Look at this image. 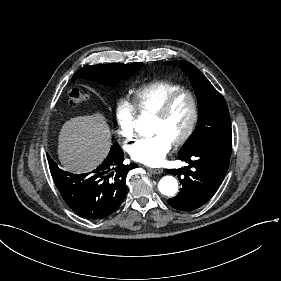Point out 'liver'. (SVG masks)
I'll return each mask as SVG.
<instances>
[{"label": "liver", "mask_w": 281, "mask_h": 281, "mask_svg": "<svg viewBox=\"0 0 281 281\" xmlns=\"http://www.w3.org/2000/svg\"><path fill=\"white\" fill-rule=\"evenodd\" d=\"M58 155L66 170L89 172L103 162L111 146V132L101 113L65 122L59 134Z\"/></svg>", "instance_id": "6515ba94"}]
</instances>
